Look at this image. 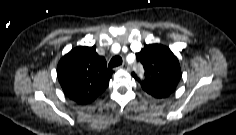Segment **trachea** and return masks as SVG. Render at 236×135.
<instances>
[{
    "label": "trachea",
    "mask_w": 236,
    "mask_h": 135,
    "mask_svg": "<svg viewBox=\"0 0 236 135\" xmlns=\"http://www.w3.org/2000/svg\"><path fill=\"white\" fill-rule=\"evenodd\" d=\"M122 64V58L120 56H115L113 57L110 62H109V67L110 68H113V67H117L119 65Z\"/></svg>",
    "instance_id": "1"
}]
</instances>
